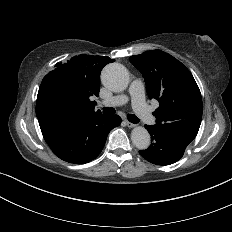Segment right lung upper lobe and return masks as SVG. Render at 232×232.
Masks as SVG:
<instances>
[{"label": "right lung upper lobe", "mask_w": 232, "mask_h": 232, "mask_svg": "<svg viewBox=\"0 0 232 232\" xmlns=\"http://www.w3.org/2000/svg\"><path fill=\"white\" fill-rule=\"evenodd\" d=\"M114 61L107 56L83 54L72 57L67 63H57L56 69L43 78L39 87L38 120L102 114L95 111L91 96H99L101 70Z\"/></svg>", "instance_id": "right-lung-upper-lobe-1"}]
</instances>
